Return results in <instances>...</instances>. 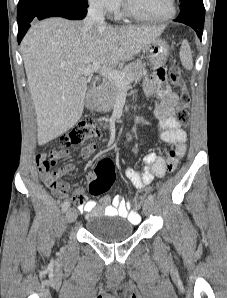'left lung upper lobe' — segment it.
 <instances>
[{
	"instance_id": "5c2ea615",
	"label": "left lung upper lobe",
	"mask_w": 227,
	"mask_h": 298,
	"mask_svg": "<svg viewBox=\"0 0 227 298\" xmlns=\"http://www.w3.org/2000/svg\"><path fill=\"white\" fill-rule=\"evenodd\" d=\"M181 11L179 16L194 15L198 17H205V8L203 0H180Z\"/></svg>"
}]
</instances>
